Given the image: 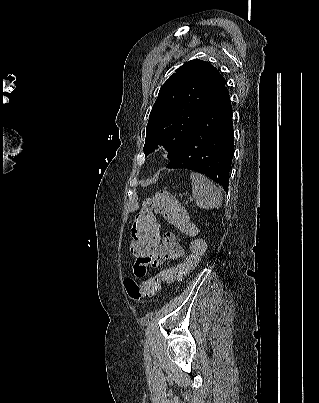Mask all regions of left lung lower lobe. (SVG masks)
<instances>
[{"label":"left lung lower lobe","instance_id":"left-lung-lower-lobe-1","mask_svg":"<svg viewBox=\"0 0 319 403\" xmlns=\"http://www.w3.org/2000/svg\"><path fill=\"white\" fill-rule=\"evenodd\" d=\"M233 152L232 107L224 87L194 126L184 148L166 168L198 171L227 191Z\"/></svg>","mask_w":319,"mask_h":403}]
</instances>
